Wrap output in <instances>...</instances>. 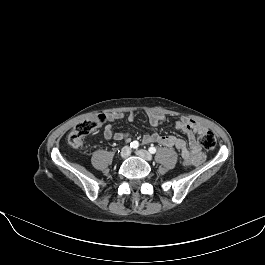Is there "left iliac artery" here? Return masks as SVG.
I'll use <instances>...</instances> for the list:
<instances>
[{"instance_id":"1","label":"left iliac artery","mask_w":265,"mask_h":265,"mask_svg":"<svg viewBox=\"0 0 265 265\" xmlns=\"http://www.w3.org/2000/svg\"><path fill=\"white\" fill-rule=\"evenodd\" d=\"M149 152L151 153V154H154V153H156V148L155 147H150L149 148Z\"/></svg>"}]
</instances>
